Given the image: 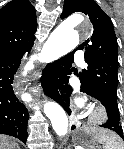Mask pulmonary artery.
<instances>
[{
    "label": "pulmonary artery",
    "instance_id": "pulmonary-artery-1",
    "mask_svg": "<svg viewBox=\"0 0 124 149\" xmlns=\"http://www.w3.org/2000/svg\"><path fill=\"white\" fill-rule=\"evenodd\" d=\"M75 59L81 64L84 65L83 54L80 51L75 53Z\"/></svg>",
    "mask_w": 124,
    "mask_h": 149
}]
</instances>
